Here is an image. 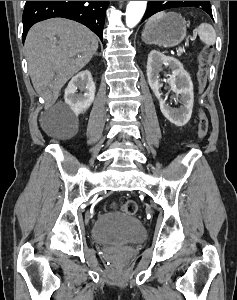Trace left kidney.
I'll use <instances>...</instances> for the list:
<instances>
[{
	"label": "left kidney",
	"mask_w": 237,
	"mask_h": 300,
	"mask_svg": "<svg viewBox=\"0 0 237 300\" xmlns=\"http://www.w3.org/2000/svg\"><path fill=\"white\" fill-rule=\"evenodd\" d=\"M163 65H166L172 71V75H170L167 83L171 91L177 93L180 101H182L179 109H172V107L166 105V101H163L161 97L163 83H160L159 73L162 71ZM147 79L156 99L160 103L161 113H163L164 117L176 127H184L191 119L194 93L191 77L185 71L182 63L178 59H174V57H166L160 51H151L147 61Z\"/></svg>",
	"instance_id": "obj_1"
}]
</instances>
